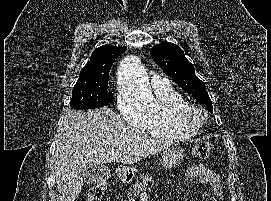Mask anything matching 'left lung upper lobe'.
<instances>
[{"instance_id": "5c2ea615", "label": "left lung upper lobe", "mask_w": 271, "mask_h": 201, "mask_svg": "<svg viewBox=\"0 0 271 201\" xmlns=\"http://www.w3.org/2000/svg\"><path fill=\"white\" fill-rule=\"evenodd\" d=\"M150 54L154 62L171 77L183 90L191 94L197 101L206 105L213 113L205 84L195 75L193 65L187 60L183 50L170 42H162L153 46Z\"/></svg>"}]
</instances>
